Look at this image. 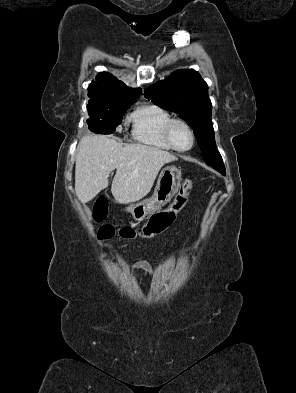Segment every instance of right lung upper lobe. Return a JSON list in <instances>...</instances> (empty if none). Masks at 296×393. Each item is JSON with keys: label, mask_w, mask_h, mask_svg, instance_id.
<instances>
[{"label": "right lung upper lobe", "mask_w": 296, "mask_h": 393, "mask_svg": "<svg viewBox=\"0 0 296 393\" xmlns=\"http://www.w3.org/2000/svg\"><path fill=\"white\" fill-rule=\"evenodd\" d=\"M140 93L141 89L131 90L123 82L106 72L99 73L96 81H92L88 88L89 102L109 100L135 101Z\"/></svg>", "instance_id": "obj_1"}]
</instances>
